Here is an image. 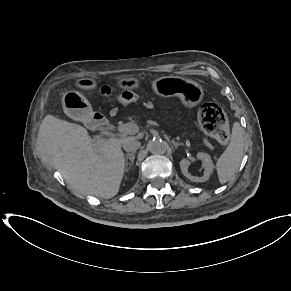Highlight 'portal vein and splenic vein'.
Instances as JSON below:
<instances>
[{"instance_id": "18ae733b", "label": "portal vein and splenic vein", "mask_w": 291, "mask_h": 291, "mask_svg": "<svg viewBox=\"0 0 291 291\" xmlns=\"http://www.w3.org/2000/svg\"><path fill=\"white\" fill-rule=\"evenodd\" d=\"M152 125H157L155 121H150ZM117 130L123 134H135L139 130V126L135 123H126L118 126Z\"/></svg>"}]
</instances>
